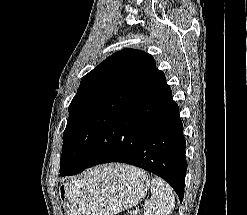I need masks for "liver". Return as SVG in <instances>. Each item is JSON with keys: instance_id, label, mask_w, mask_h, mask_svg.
<instances>
[{"instance_id": "6515ba94", "label": "liver", "mask_w": 247, "mask_h": 215, "mask_svg": "<svg viewBox=\"0 0 247 215\" xmlns=\"http://www.w3.org/2000/svg\"><path fill=\"white\" fill-rule=\"evenodd\" d=\"M121 168H122L123 170H128L130 167L125 166V165H121Z\"/></svg>"}]
</instances>
